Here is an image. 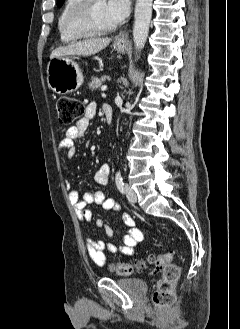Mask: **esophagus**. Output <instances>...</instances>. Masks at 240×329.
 I'll list each match as a JSON object with an SVG mask.
<instances>
[{
  "label": "esophagus",
  "mask_w": 240,
  "mask_h": 329,
  "mask_svg": "<svg viewBox=\"0 0 240 329\" xmlns=\"http://www.w3.org/2000/svg\"><path fill=\"white\" fill-rule=\"evenodd\" d=\"M128 35L125 33H120L116 36V42L119 46L124 47L127 43Z\"/></svg>",
  "instance_id": "34e87169"
}]
</instances>
